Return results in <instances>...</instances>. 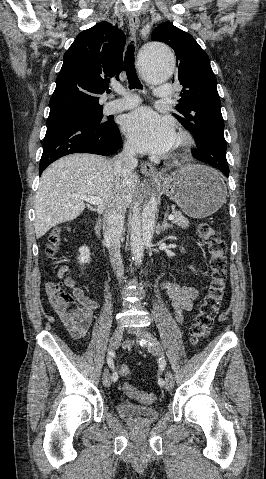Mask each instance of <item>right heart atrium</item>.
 Segmentation results:
<instances>
[{
	"label": "right heart atrium",
	"mask_w": 266,
	"mask_h": 479,
	"mask_svg": "<svg viewBox=\"0 0 266 479\" xmlns=\"http://www.w3.org/2000/svg\"><path fill=\"white\" fill-rule=\"evenodd\" d=\"M126 151H127L129 154H134V149H133V147L131 146L130 143H127V144H126Z\"/></svg>",
	"instance_id": "1"
}]
</instances>
